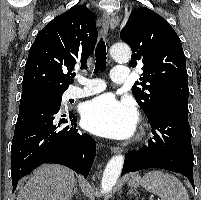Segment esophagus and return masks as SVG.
Listing matches in <instances>:
<instances>
[{
	"mask_svg": "<svg viewBox=\"0 0 201 200\" xmlns=\"http://www.w3.org/2000/svg\"><path fill=\"white\" fill-rule=\"evenodd\" d=\"M111 21H112V19L109 16V14L104 13L103 17H102V25H103L104 35H105L107 41H108L109 35H110V24H111ZM113 21H115V20L113 19ZM121 151H122V149L120 147H117V146L111 147V152L113 154H119Z\"/></svg>",
	"mask_w": 201,
	"mask_h": 200,
	"instance_id": "34e87169",
	"label": "esophagus"
}]
</instances>
